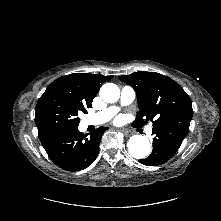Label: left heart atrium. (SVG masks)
I'll return each instance as SVG.
<instances>
[{
	"instance_id": "39dd6f15",
	"label": "left heart atrium",
	"mask_w": 221,
	"mask_h": 221,
	"mask_svg": "<svg viewBox=\"0 0 221 221\" xmlns=\"http://www.w3.org/2000/svg\"><path fill=\"white\" fill-rule=\"evenodd\" d=\"M121 121H122V118H121V117H119V118L116 119V123H120Z\"/></svg>"
}]
</instances>
